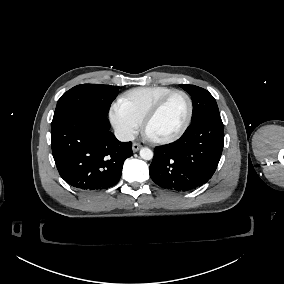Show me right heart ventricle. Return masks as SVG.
Here are the masks:
<instances>
[{
	"label": "right heart ventricle",
	"mask_w": 284,
	"mask_h": 284,
	"mask_svg": "<svg viewBox=\"0 0 284 284\" xmlns=\"http://www.w3.org/2000/svg\"><path fill=\"white\" fill-rule=\"evenodd\" d=\"M175 90L169 86L153 85L132 88L122 93L115 104L116 108L133 116L139 124L148 111L167 93Z\"/></svg>",
	"instance_id": "obj_1"
}]
</instances>
